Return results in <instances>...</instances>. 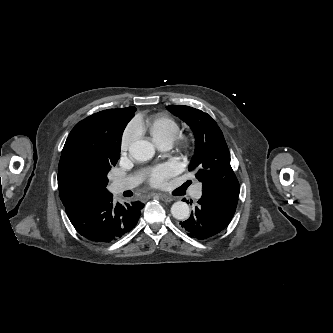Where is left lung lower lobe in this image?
<instances>
[{
    "label": "left lung lower lobe",
    "mask_w": 333,
    "mask_h": 333,
    "mask_svg": "<svg viewBox=\"0 0 333 333\" xmlns=\"http://www.w3.org/2000/svg\"><path fill=\"white\" fill-rule=\"evenodd\" d=\"M238 203V197H217L205 191L189 219L181 222L188 236L201 239L212 237L230 223Z\"/></svg>",
    "instance_id": "left-lung-lower-lobe-1"
}]
</instances>
